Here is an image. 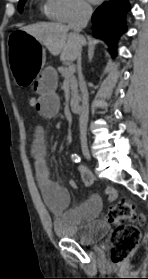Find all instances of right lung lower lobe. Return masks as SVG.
<instances>
[{"instance_id": "1", "label": "right lung lower lobe", "mask_w": 148, "mask_h": 279, "mask_svg": "<svg viewBox=\"0 0 148 279\" xmlns=\"http://www.w3.org/2000/svg\"><path fill=\"white\" fill-rule=\"evenodd\" d=\"M128 10V0H109L98 7L92 16L93 35L105 40L114 56L117 36L126 31L125 14Z\"/></svg>"}]
</instances>
